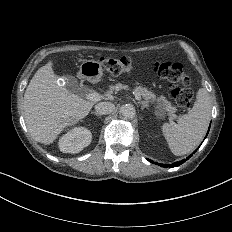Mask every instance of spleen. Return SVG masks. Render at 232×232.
Instances as JSON below:
<instances>
[{
	"label": "spleen",
	"mask_w": 232,
	"mask_h": 232,
	"mask_svg": "<svg viewBox=\"0 0 232 232\" xmlns=\"http://www.w3.org/2000/svg\"><path fill=\"white\" fill-rule=\"evenodd\" d=\"M211 118V101L205 88H199L196 102L188 114L182 115L176 126L170 123L161 125L170 151L177 156L191 152L203 139Z\"/></svg>",
	"instance_id": "obj_1"
}]
</instances>
